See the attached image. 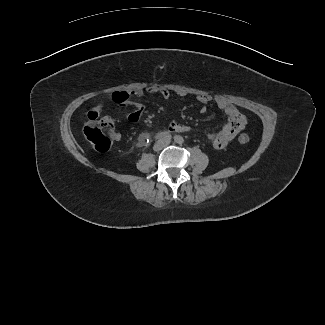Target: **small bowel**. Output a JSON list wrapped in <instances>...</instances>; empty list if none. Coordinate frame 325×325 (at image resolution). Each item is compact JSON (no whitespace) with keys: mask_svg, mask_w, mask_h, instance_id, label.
I'll use <instances>...</instances> for the list:
<instances>
[{"mask_svg":"<svg viewBox=\"0 0 325 325\" xmlns=\"http://www.w3.org/2000/svg\"><path fill=\"white\" fill-rule=\"evenodd\" d=\"M146 92L150 94H157L164 99H169L171 97L170 90L162 86H150L147 88ZM144 95L145 91L141 89L133 90L130 92H116L113 95V100L120 106H126L129 104V110L126 115L127 119L131 122H137L143 117L145 113V107L142 103L139 102L129 103V99L130 97L141 98ZM176 95L182 97L185 96L186 93L184 91H176ZM195 98L202 105H207L212 100L211 96L206 94H198ZM215 103L228 115V120L222 125L221 129L218 132L209 133L207 136L215 148L223 149L227 147L228 144L237 136V134L244 129L246 125V117L241 111H239L234 105L229 103L224 98H216ZM103 107V104H98L94 106L90 111H93L97 113V115H100ZM201 112H206V108L203 107L201 109ZM189 129L190 128L188 126L176 122L175 120H171L169 124V131L173 133H184L189 131Z\"/></svg>","mask_w":325,"mask_h":325,"instance_id":"1","label":"small bowel"}]
</instances>
